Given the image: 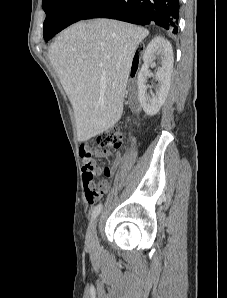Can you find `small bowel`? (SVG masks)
Instances as JSON below:
<instances>
[{"label":"small bowel","mask_w":227,"mask_h":298,"mask_svg":"<svg viewBox=\"0 0 227 298\" xmlns=\"http://www.w3.org/2000/svg\"><path fill=\"white\" fill-rule=\"evenodd\" d=\"M136 111L139 110L138 105H134ZM78 146L80 147V157L83 162V186L86 189H96L99 197L105 194L110 187V184L107 180H102L95 186L93 182V177L95 175H103L107 178L111 177L117 168L121 164V158H118L113 165L111 166H98L92 159L94 155L96 157H107L110 153L108 150L100 149L99 146H89L88 142H79Z\"/></svg>","instance_id":"small-bowel-1"}]
</instances>
